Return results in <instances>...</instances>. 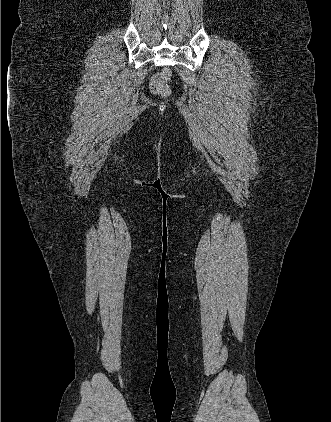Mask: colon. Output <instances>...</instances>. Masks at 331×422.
<instances>
[{"label": "colon", "instance_id": "5ec220e1", "mask_svg": "<svg viewBox=\"0 0 331 422\" xmlns=\"http://www.w3.org/2000/svg\"><path fill=\"white\" fill-rule=\"evenodd\" d=\"M170 70L165 68L162 71L158 72L152 77L150 88L151 91L163 97H166L170 93L169 89V80H170Z\"/></svg>", "mask_w": 331, "mask_h": 422}]
</instances>
